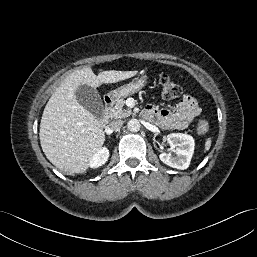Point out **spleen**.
I'll use <instances>...</instances> for the list:
<instances>
[{
  "mask_svg": "<svg viewBox=\"0 0 257 257\" xmlns=\"http://www.w3.org/2000/svg\"><path fill=\"white\" fill-rule=\"evenodd\" d=\"M211 138L208 137L205 141V151H208L210 149V146H211Z\"/></svg>",
  "mask_w": 257,
  "mask_h": 257,
  "instance_id": "1",
  "label": "spleen"
}]
</instances>
